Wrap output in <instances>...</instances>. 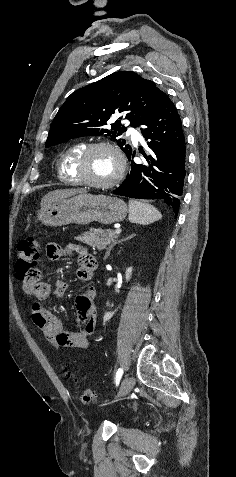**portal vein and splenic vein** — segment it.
<instances>
[{"label": "portal vein and splenic vein", "mask_w": 236, "mask_h": 477, "mask_svg": "<svg viewBox=\"0 0 236 477\" xmlns=\"http://www.w3.org/2000/svg\"><path fill=\"white\" fill-rule=\"evenodd\" d=\"M121 231L122 230L120 228H118V229L115 230V234L119 235L121 233Z\"/></svg>", "instance_id": "obj_1"}]
</instances>
